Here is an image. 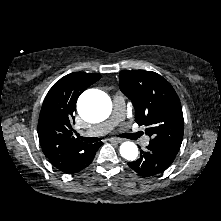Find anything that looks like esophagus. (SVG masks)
<instances>
[{
	"label": "esophagus",
	"instance_id": "esophagus-1",
	"mask_svg": "<svg viewBox=\"0 0 221 221\" xmlns=\"http://www.w3.org/2000/svg\"><path fill=\"white\" fill-rule=\"evenodd\" d=\"M122 139H110V142L111 143H115V144H120V143H122Z\"/></svg>",
	"mask_w": 221,
	"mask_h": 221
}]
</instances>
